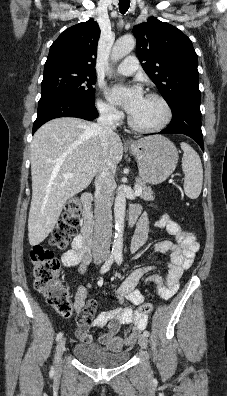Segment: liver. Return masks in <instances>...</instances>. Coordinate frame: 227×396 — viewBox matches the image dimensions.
I'll use <instances>...</instances> for the list:
<instances>
[{"instance_id":"liver-1","label":"liver","mask_w":227,"mask_h":396,"mask_svg":"<svg viewBox=\"0 0 227 396\" xmlns=\"http://www.w3.org/2000/svg\"><path fill=\"white\" fill-rule=\"evenodd\" d=\"M95 124L75 117L45 123L31 143L32 200L28 218L31 246L43 242L57 223L67 200L89 186L108 161L115 167L123 156L117 134L104 148ZM66 173H73L66 178Z\"/></svg>"}]
</instances>
